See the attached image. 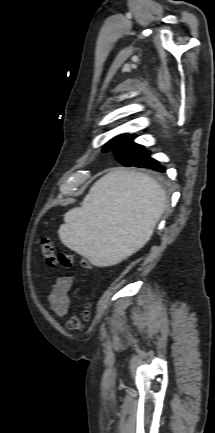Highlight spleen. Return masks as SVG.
Masks as SVG:
<instances>
[{"mask_svg":"<svg viewBox=\"0 0 215 433\" xmlns=\"http://www.w3.org/2000/svg\"><path fill=\"white\" fill-rule=\"evenodd\" d=\"M166 194L153 178L114 169L98 180L82 206L64 215L61 242L99 267L121 262L152 236Z\"/></svg>","mask_w":215,"mask_h":433,"instance_id":"1","label":"spleen"}]
</instances>
